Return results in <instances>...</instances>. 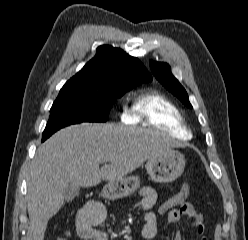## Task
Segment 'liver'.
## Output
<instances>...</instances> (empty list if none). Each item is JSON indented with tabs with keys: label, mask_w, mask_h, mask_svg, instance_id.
I'll list each match as a JSON object with an SVG mask.
<instances>
[{
	"label": "liver",
	"mask_w": 248,
	"mask_h": 240,
	"mask_svg": "<svg viewBox=\"0 0 248 240\" xmlns=\"http://www.w3.org/2000/svg\"><path fill=\"white\" fill-rule=\"evenodd\" d=\"M176 146L163 133L124 125L82 123L56 132L39 146L30 167L27 208L33 240L44 239L69 184L92 187L102 180L123 179Z\"/></svg>",
	"instance_id": "6515ba94"
}]
</instances>
